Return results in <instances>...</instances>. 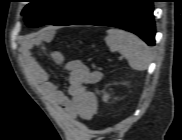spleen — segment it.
I'll list each match as a JSON object with an SVG mask.
<instances>
[{
	"label": "spleen",
	"instance_id": "3e777b00",
	"mask_svg": "<svg viewBox=\"0 0 182 140\" xmlns=\"http://www.w3.org/2000/svg\"><path fill=\"white\" fill-rule=\"evenodd\" d=\"M105 41L111 52L118 51L127 59L132 69L144 71L148 68L151 50L136 35L120 29H109Z\"/></svg>",
	"mask_w": 182,
	"mask_h": 140
}]
</instances>
